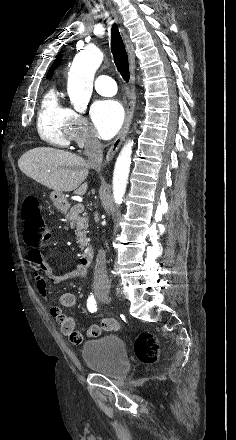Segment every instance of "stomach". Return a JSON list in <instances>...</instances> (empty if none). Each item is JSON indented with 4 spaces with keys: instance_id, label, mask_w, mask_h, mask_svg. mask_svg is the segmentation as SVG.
<instances>
[{
    "instance_id": "stomach-1",
    "label": "stomach",
    "mask_w": 236,
    "mask_h": 440,
    "mask_svg": "<svg viewBox=\"0 0 236 440\" xmlns=\"http://www.w3.org/2000/svg\"><path fill=\"white\" fill-rule=\"evenodd\" d=\"M50 198L54 204V206L62 213L68 210L69 204L67 202V198L65 194L61 191H53L50 194Z\"/></svg>"
}]
</instances>
